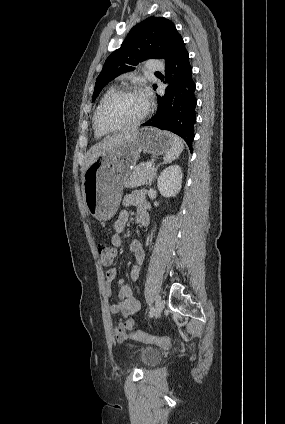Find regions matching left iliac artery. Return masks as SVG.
Instances as JSON below:
<instances>
[{
	"label": "left iliac artery",
	"mask_w": 285,
	"mask_h": 424,
	"mask_svg": "<svg viewBox=\"0 0 285 424\" xmlns=\"http://www.w3.org/2000/svg\"><path fill=\"white\" fill-rule=\"evenodd\" d=\"M154 312H155L154 307H151L150 312H149V316H150V317H153Z\"/></svg>",
	"instance_id": "44dca946"
}]
</instances>
